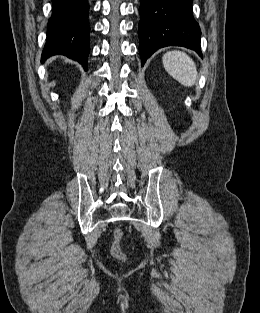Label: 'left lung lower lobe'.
<instances>
[{
	"label": "left lung lower lobe",
	"instance_id": "obj_1",
	"mask_svg": "<svg viewBox=\"0 0 260 313\" xmlns=\"http://www.w3.org/2000/svg\"><path fill=\"white\" fill-rule=\"evenodd\" d=\"M193 0H140L139 52L142 65L159 48L200 50V28L192 15Z\"/></svg>",
	"mask_w": 260,
	"mask_h": 313
}]
</instances>
